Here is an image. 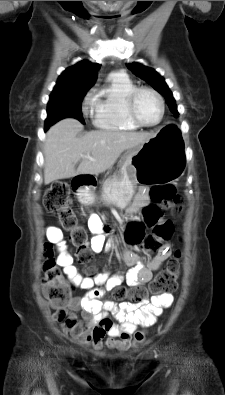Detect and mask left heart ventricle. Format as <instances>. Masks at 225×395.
I'll return each instance as SVG.
<instances>
[{"instance_id": "b2bd125f", "label": "left heart ventricle", "mask_w": 225, "mask_h": 395, "mask_svg": "<svg viewBox=\"0 0 225 395\" xmlns=\"http://www.w3.org/2000/svg\"><path fill=\"white\" fill-rule=\"evenodd\" d=\"M136 113L144 123L153 124L159 119L160 105L152 94L143 92L137 98Z\"/></svg>"}]
</instances>
